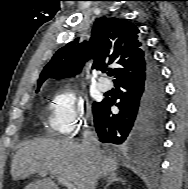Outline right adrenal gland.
Masks as SVG:
<instances>
[{"instance_id": "2a0ac1e0", "label": "right adrenal gland", "mask_w": 188, "mask_h": 189, "mask_svg": "<svg viewBox=\"0 0 188 189\" xmlns=\"http://www.w3.org/2000/svg\"><path fill=\"white\" fill-rule=\"evenodd\" d=\"M113 182H122V183H124L125 180H123L122 178L118 177L117 174L111 173L107 177V184L104 187V189H107V187L110 186Z\"/></svg>"}]
</instances>
